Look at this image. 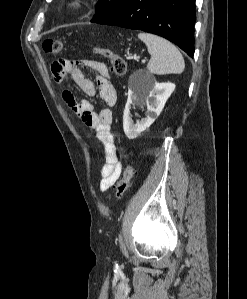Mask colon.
Listing matches in <instances>:
<instances>
[{"instance_id":"colon-1","label":"colon","mask_w":247,"mask_h":299,"mask_svg":"<svg viewBox=\"0 0 247 299\" xmlns=\"http://www.w3.org/2000/svg\"><path fill=\"white\" fill-rule=\"evenodd\" d=\"M43 49L48 54H59L62 50V41L57 38H47L43 41ZM93 52L101 57L108 59L111 63V69L117 76H124L127 72V63L125 59L111 49L94 47ZM136 168L128 164L123 172L122 178L118 181L115 189L116 198H122L131 186L132 178Z\"/></svg>"}]
</instances>
